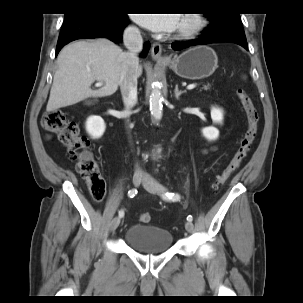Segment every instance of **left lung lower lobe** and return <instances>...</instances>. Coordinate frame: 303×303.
<instances>
[{
  "label": "left lung lower lobe",
  "mask_w": 303,
  "mask_h": 303,
  "mask_svg": "<svg viewBox=\"0 0 303 303\" xmlns=\"http://www.w3.org/2000/svg\"><path fill=\"white\" fill-rule=\"evenodd\" d=\"M222 42H232L244 47L245 49L248 48L245 33L236 32L204 34L201 38L196 40L172 43V48L174 50H182L190 46Z\"/></svg>",
  "instance_id": "0a47b994"
}]
</instances>
